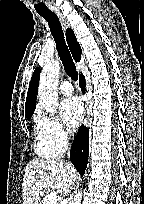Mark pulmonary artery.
<instances>
[{
	"instance_id": "e3ab8cb5",
	"label": "pulmonary artery",
	"mask_w": 144,
	"mask_h": 204,
	"mask_svg": "<svg viewBox=\"0 0 144 204\" xmlns=\"http://www.w3.org/2000/svg\"><path fill=\"white\" fill-rule=\"evenodd\" d=\"M59 91L65 96H69L73 93V86L69 81H63L59 86Z\"/></svg>"
}]
</instances>
